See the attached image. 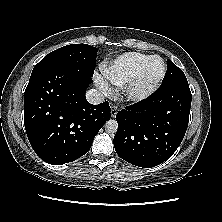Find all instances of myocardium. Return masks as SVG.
Segmentation results:
<instances>
[{"label": "myocardium", "mask_w": 222, "mask_h": 222, "mask_svg": "<svg viewBox=\"0 0 222 222\" xmlns=\"http://www.w3.org/2000/svg\"><path fill=\"white\" fill-rule=\"evenodd\" d=\"M155 59L162 62L163 68L160 76L151 83L144 84L146 71ZM167 72L166 63L158 55L151 56L139 69L138 73L126 84L124 93L128 100L132 102H141L153 95L162 84Z\"/></svg>", "instance_id": "obj_1"}]
</instances>
